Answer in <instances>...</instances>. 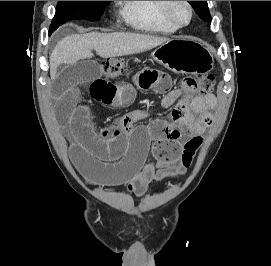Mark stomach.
Here are the masks:
<instances>
[{
  "label": "stomach",
  "instance_id": "obj_1",
  "mask_svg": "<svg viewBox=\"0 0 271 266\" xmlns=\"http://www.w3.org/2000/svg\"><path fill=\"white\" fill-rule=\"evenodd\" d=\"M151 57L174 73L204 74L214 66L210 50L195 39H173L157 48Z\"/></svg>",
  "mask_w": 271,
  "mask_h": 266
}]
</instances>
